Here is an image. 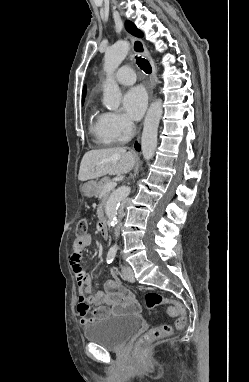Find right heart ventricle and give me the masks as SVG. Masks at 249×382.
I'll return each mask as SVG.
<instances>
[{"instance_id": "1", "label": "right heart ventricle", "mask_w": 249, "mask_h": 382, "mask_svg": "<svg viewBox=\"0 0 249 382\" xmlns=\"http://www.w3.org/2000/svg\"><path fill=\"white\" fill-rule=\"evenodd\" d=\"M105 118V113H101L95 106L92 108L91 130L102 144L110 145L115 143L116 140L108 133Z\"/></svg>"}]
</instances>
